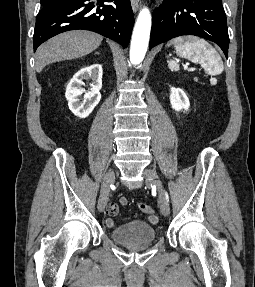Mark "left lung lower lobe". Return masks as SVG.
<instances>
[{
  "mask_svg": "<svg viewBox=\"0 0 255 287\" xmlns=\"http://www.w3.org/2000/svg\"><path fill=\"white\" fill-rule=\"evenodd\" d=\"M181 35L213 41L228 57L229 36L222 0H165L153 12L149 49Z\"/></svg>",
  "mask_w": 255,
  "mask_h": 287,
  "instance_id": "1",
  "label": "left lung lower lobe"
}]
</instances>
